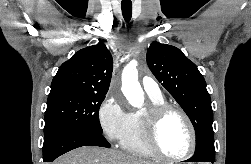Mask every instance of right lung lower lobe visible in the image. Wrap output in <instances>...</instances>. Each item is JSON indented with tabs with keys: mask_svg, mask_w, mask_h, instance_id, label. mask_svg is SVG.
<instances>
[{
	"mask_svg": "<svg viewBox=\"0 0 251 164\" xmlns=\"http://www.w3.org/2000/svg\"><path fill=\"white\" fill-rule=\"evenodd\" d=\"M81 146L110 147V144L97 131L56 126L44 132L43 161L53 162L60 155Z\"/></svg>",
	"mask_w": 251,
	"mask_h": 164,
	"instance_id": "obj_1",
	"label": "right lung lower lobe"
}]
</instances>
